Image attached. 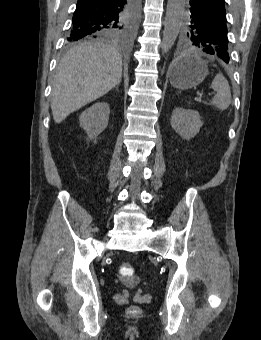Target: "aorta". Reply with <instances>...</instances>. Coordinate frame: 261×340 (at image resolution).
Here are the masks:
<instances>
[{"label":"aorta","instance_id":"762f6f07","mask_svg":"<svg viewBox=\"0 0 261 340\" xmlns=\"http://www.w3.org/2000/svg\"><path fill=\"white\" fill-rule=\"evenodd\" d=\"M185 0H168L161 49L168 51L175 43L182 25Z\"/></svg>","mask_w":261,"mask_h":340}]
</instances>
